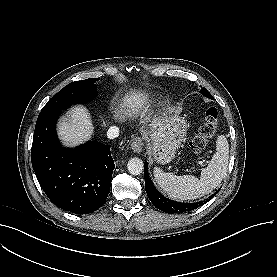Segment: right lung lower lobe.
<instances>
[{
    "mask_svg": "<svg viewBox=\"0 0 277 277\" xmlns=\"http://www.w3.org/2000/svg\"><path fill=\"white\" fill-rule=\"evenodd\" d=\"M60 111L38 117L31 149L36 177L49 199L75 214L96 211L107 199L115 168L110 145L97 141L74 149L58 143Z\"/></svg>",
    "mask_w": 277,
    "mask_h": 277,
    "instance_id": "1",
    "label": "right lung lower lobe"
}]
</instances>
